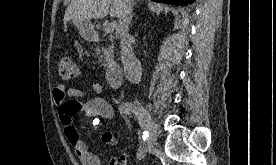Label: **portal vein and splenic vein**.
Wrapping results in <instances>:
<instances>
[{
	"instance_id": "portal-vein-and-splenic-vein-1",
	"label": "portal vein and splenic vein",
	"mask_w": 276,
	"mask_h": 165,
	"mask_svg": "<svg viewBox=\"0 0 276 165\" xmlns=\"http://www.w3.org/2000/svg\"><path fill=\"white\" fill-rule=\"evenodd\" d=\"M117 27L116 23H106L104 24V31L106 33H111L114 31V29Z\"/></svg>"
}]
</instances>
